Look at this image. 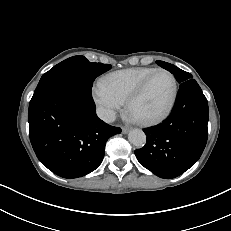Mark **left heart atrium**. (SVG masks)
Wrapping results in <instances>:
<instances>
[{
  "mask_svg": "<svg viewBox=\"0 0 231 231\" xmlns=\"http://www.w3.org/2000/svg\"><path fill=\"white\" fill-rule=\"evenodd\" d=\"M129 117L131 118V119H133V120H135L136 118L135 117H133L131 114H129Z\"/></svg>",
  "mask_w": 231,
  "mask_h": 231,
  "instance_id": "1",
  "label": "left heart atrium"
}]
</instances>
